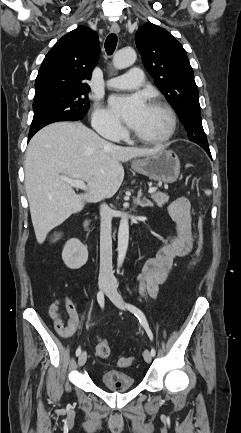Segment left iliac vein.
I'll use <instances>...</instances> for the list:
<instances>
[{
    "instance_id": "left-iliac-vein-1",
    "label": "left iliac vein",
    "mask_w": 241,
    "mask_h": 433,
    "mask_svg": "<svg viewBox=\"0 0 241 433\" xmlns=\"http://www.w3.org/2000/svg\"><path fill=\"white\" fill-rule=\"evenodd\" d=\"M106 294L109 299L120 309L125 310V304L122 297L119 295L115 282H110L108 287L106 288ZM144 360L147 363L152 361V355L148 350H145L143 353Z\"/></svg>"
}]
</instances>
